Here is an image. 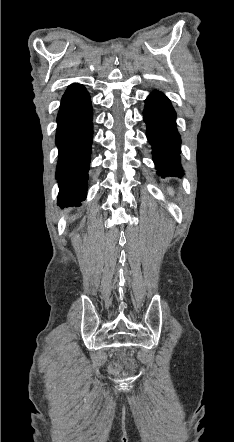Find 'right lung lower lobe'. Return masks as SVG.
Returning <instances> with one entry per match:
<instances>
[{
    "label": "right lung lower lobe",
    "mask_w": 234,
    "mask_h": 442,
    "mask_svg": "<svg viewBox=\"0 0 234 442\" xmlns=\"http://www.w3.org/2000/svg\"><path fill=\"white\" fill-rule=\"evenodd\" d=\"M92 117L88 92L82 85L72 84L62 97L57 116L59 160L56 178L60 188L57 202L60 207L76 205L86 197Z\"/></svg>",
    "instance_id": "right-lung-lower-lobe-1"
}]
</instances>
